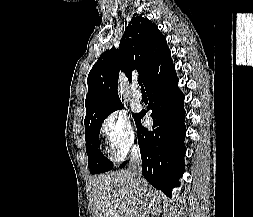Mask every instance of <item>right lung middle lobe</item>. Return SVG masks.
<instances>
[{
  "mask_svg": "<svg viewBox=\"0 0 253 217\" xmlns=\"http://www.w3.org/2000/svg\"><path fill=\"white\" fill-rule=\"evenodd\" d=\"M123 108L120 104L105 113L85 122L86 152L88 155V168L92 174L103 173L113 168V163L103 156L100 151L99 134L104 119L113 111ZM135 118L136 114H132Z\"/></svg>",
  "mask_w": 253,
  "mask_h": 217,
  "instance_id": "obj_1",
  "label": "right lung middle lobe"
}]
</instances>
